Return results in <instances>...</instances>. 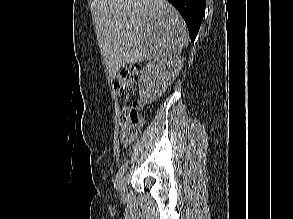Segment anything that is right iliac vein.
<instances>
[{"instance_id":"right-iliac-vein-1","label":"right iliac vein","mask_w":293,"mask_h":219,"mask_svg":"<svg viewBox=\"0 0 293 219\" xmlns=\"http://www.w3.org/2000/svg\"><path fill=\"white\" fill-rule=\"evenodd\" d=\"M125 188H126V182H125V177H123L119 182V188H118L121 195L125 193Z\"/></svg>"}]
</instances>
